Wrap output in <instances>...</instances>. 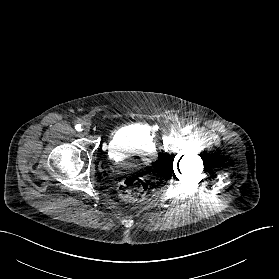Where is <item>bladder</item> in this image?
Instances as JSON below:
<instances>
[{
    "instance_id": "obj_1",
    "label": "bladder",
    "mask_w": 279,
    "mask_h": 279,
    "mask_svg": "<svg viewBox=\"0 0 279 279\" xmlns=\"http://www.w3.org/2000/svg\"><path fill=\"white\" fill-rule=\"evenodd\" d=\"M106 149L110 158L123 168L148 167L158 157L153 132L143 123H129L114 130Z\"/></svg>"
}]
</instances>
